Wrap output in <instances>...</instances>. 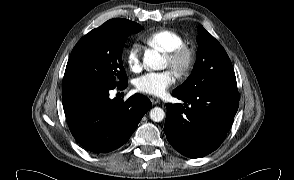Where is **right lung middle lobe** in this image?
I'll list each match as a JSON object with an SVG mask.
<instances>
[{
  "mask_svg": "<svg viewBox=\"0 0 294 180\" xmlns=\"http://www.w3.org/2000/svg\"><path fill=\"white\" fill-rule=\"evenodd\" d=\"M141 29L134 26L107 25L93 29L73 48L67 63L62 89L78 85H102L108 88L127 85L122 65L126 38Z\"/></svg>",
  "mask_w": 294,
  "mask_h": 180,
  "instance_id": "1",
  "label": "right lung middle lobe"
}]
</instances>
